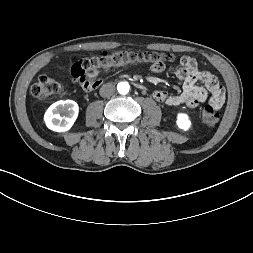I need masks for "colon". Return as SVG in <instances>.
<instances>
[{
    "label": "colon",
    "instance_id": "1",
    "mask_svg": "<svg viewBox=\"0 0 253 253\" xmlns=\"http://www.w3.org/2000/svg\"><path fill=\"white\" fill-rule=\"evenodd\" d=\"M162 60L165 63L174 60V55L154 51H130L120 50L114 52H102L86 57L71 67L70 81L76 88L96 89L104 81L99 74L100 70L124 66L135 63L150 64L151 61ZM64 88L61 83L47 75H41L31 87L32 95L37 99H47L60 95ZM219 120V114L215 107L206 105L202 110L204 125L213 127Z\"/></svg>",
    "mask_w": 253,
    "mask_h": 253
}]
</instances>
